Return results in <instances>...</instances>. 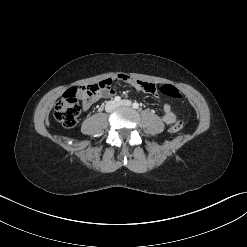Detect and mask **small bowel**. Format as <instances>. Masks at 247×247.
I'll use <instances>...</instances> for the list:
<instances>
[{
    "instance_id": "c3829d8e",
    "label": "small bowel",
    "mask_w": 247,
    "mask_h": 247,
    "mask_svg": "<svg viewBox=\"0 0 247 247\" xmlns=\"http://www.w3.org/2000/svg\"><path fill=\"white\" fill-rule=\"evenodd\" d=\"M119 79L124 80L125 82L130 84L137 92H148V93H151V94H155L156 93V87L152 83L145 82V81L138 80V79H134V78H131V77H129L127 75H123V74L119 75ZM114 94H115V90L111 87L107 91L103 92L98 97V99L99 98L111 97ZM79 97L83 101L84 110H88L91 107V105L93 104L94 101H89L82 92L79 93ZM162 118H163V121L166 124H172L176 120V115L173 112V110H172V108H171L169 103H165L163 105V117Z\"/></svg>"
}]
</instances>
